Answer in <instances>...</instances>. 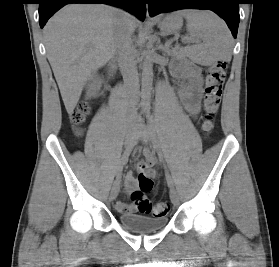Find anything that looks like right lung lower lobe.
<instances>
[{
	"label": "right lung lower lobe",
	"instance_id": "obj_1",
	"mask_svg": "<svg viewBox=\"0 0 279 267\" xmlns=\"http://www.w3.org/2000/svg\"><path fill=\"white\" fill-rule=\"evenodd\" d=\"M69 3H104L126 9L139 19L144 20L146 15L145 0H40L39 23L43 28L47 20L61 7Z\"/></svg>",
	"mask_w": 279,
	"mask_h": 267
}]
</instances>
